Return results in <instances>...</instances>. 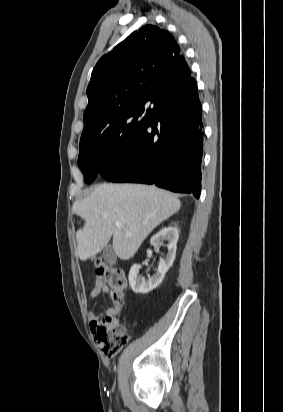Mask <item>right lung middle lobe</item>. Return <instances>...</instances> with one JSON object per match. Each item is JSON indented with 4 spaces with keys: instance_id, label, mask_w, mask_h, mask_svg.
<instances>
[{
    "instance_id": "dd1d6c3e",
    "label": "right lung middle lobe",
    "mask_w": 283,
    "mask_h": 412,
    "mask_svg": "<svg viewBox=\"0 0 283 412\" xmlns=\"http://www.w3.org/2000/svg\"><path fill=\"white\" fill-rule=\"evenodd\" d=\"M158 104L134 105L118 114L102 131L80 139L78 165L86 183L94 181L104 167L121 158L134 145Z\"/></svg>"
}]
</instances>
